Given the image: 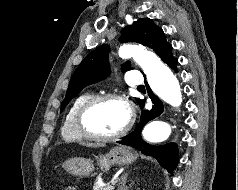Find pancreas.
<instances>
[{
  "instance_id": "obj_1",
  "label": "pancreas",
  "mask_w": 238,
  "mask_h": 190,
  "mask_svg": "<svg viewBox=\"0 0 238 190\" xmlns=\"http://www.w3.org/2000/svg\"><path fill=\"white\" fill-rule=\"evenodd\" d=\"M93 190H114V186H101L98 183V180L94 183Z\"/></svg>"
}]
</instances>
